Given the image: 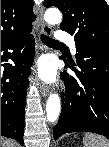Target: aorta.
<instances>
[{
  "instance_id": "1",
  "label": "aorta",
  "mask_w": 109,
  "mask_h": 147,
  "mask_svg": "<svg viewBox=\"0 0 109 147\" xmlns=\"http://www.w3.org/2000/svg\"><path fill=\"white\" fill-rule=\"evenodd\" d=\"M44 19L47 23L55 25L62 20V14L57 8H49L44 14ZM61 111V102L58 94H51L46 103L47 120L54 122L59 117Z\"/></svg>"
}]
</instances>
